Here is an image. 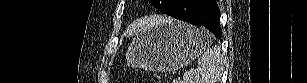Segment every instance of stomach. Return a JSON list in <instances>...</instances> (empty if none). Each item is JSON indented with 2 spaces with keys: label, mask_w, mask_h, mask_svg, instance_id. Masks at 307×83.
<instances>
[{
  "label": "stomach",
  "mask_w": 307,
  "mask_h": 83,
  "mask_svg": "<svg viewBox=\"0 0 307 83\" xmlns=\"http://www.w3.org/2000/svg\"><path fill=\"white\" fill-rule=\"evenodd\" d=\"M210 44L205 29L169 19L141 32L130 44L126 59L135 67L172 71L189 64Z\"/></svg>",
  "instance_id": "0dacf381"
}]
</instances>
